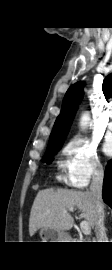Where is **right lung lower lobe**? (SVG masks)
I'll return each instance as SVG.
<instances>
[{
    "label": "right lung lower lobe",
    "mask_w": 112,
    "mask_h": 270,
    "mask_svg": "<svg viewBox=\"0 0 112 270\" xmlns=\"http://www.w3.org/2000/svg\"><path fill=\"white\" fill-rule=\"evenodd\" d=\"M102 196L104 202L112 208V160H110L105 169Z\"/></svg>",
    "instance_id": "right-lung-lower-lobe-1"
}]
</instances>
